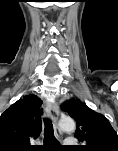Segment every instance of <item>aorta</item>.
<instances>
[{
	"label": "aorta",
	"instance_id": "aorta-1",
	"mask_svg": "<svg viewBox=\"0 0 118 151\" xmlns=\"http://www.w3.org/2000/svg\"><path fill=\"white\" fill-rule=\"evenodd\" d=\"M75 127H76L75 122L70 117H64L59 121V128L62 131L72 132L75 130Z\"/></svg>",
	"mask_w": 118,
	"mask_h": 151
}]
</instances>
